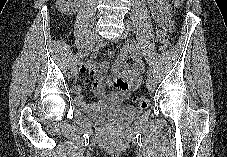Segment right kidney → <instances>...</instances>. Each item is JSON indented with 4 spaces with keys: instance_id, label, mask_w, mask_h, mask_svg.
Here are the masks:
<instances>
[{
    "instance_id": "ca27d5eb",
    "label": "right kidney",
    "mask_w": 227,
    "mask_h": 157,
    "mask_svg": "<svg viewBox=\"0 0 227 157\" xmlns=\"http://www.w3.org/2000/svg\"><path fill=\"white\" fill-rule=\"evenodd\" d=\"M57 2H63V1L59 0V1H57ZM60 9H61L62 11H64V12H69V9L67 10V8L64 7V6H61ZM72 11H74V10H72Z\"/></svg>"
}]
</instances>
